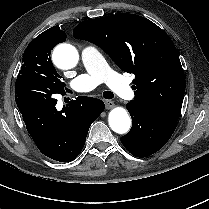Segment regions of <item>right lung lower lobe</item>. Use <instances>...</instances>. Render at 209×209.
Returning <instances> with one entry per match:
<instances>
[{"label":"right lung lower lobe","mask_w":209,"mask_h":209,"mask_svg":"<svg viewBox=\"0 0 209 209\" xmlns=\"http://www.w3.org/2000/svg\"><path fill=\"white\" fill-rule=\"evenodd\" d=\"M15 90L28 133L42 154L60 162H69L80 154L90 125L105 107L99 99L80 96L57 111L56 93L49 88L16 80Z\"/></svg>","instance_id":"obj_1"}]
</instances>
